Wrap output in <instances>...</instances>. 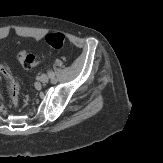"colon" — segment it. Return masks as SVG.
<instances>
[{
  "mask_svg": "<svg viewBox=\"0 0 163 163\" xmlns=\"http://www.w3.org/2000/svg\"><path fill=\"white\" fill-rule=\"evenodd\" d=\"M47 45L53 49L58 50L63 47L65 42V37L63 34L55 32L49 33L45 37ZM18 61L25 69H32L37 66L40 60L33 54L28 53L25 50H21L18 53ZM0 71L4 76V80L12 100L13 105H17L19 100V85L16 77L12 74L10 69L4 65L0 64Z\"/></svg>",
  "mask_w": 163,
  "mask_h": 163,
  "instance_id": "colon-1",
  "label": "colon"
}]
</instances>
